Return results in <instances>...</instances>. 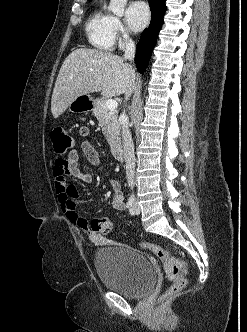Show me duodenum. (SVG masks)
Segmentation results:
<instances>
[{
  "label": "duodenum",
  "instance_id": "1",
  "mask_svg": "<svg viewBox=\"0 0 247 332\" xmlns=\"http://www.w3.org/2000/svg\"><path fill=\"white\" fill-rule=\"evenodd\" d=\"M113 155L116 159L118 160H123L124 158V151H123V148L122 146L120 145H116L114 148H113Z\"/></svg>",
  "mask_w": 247,
  "mask_h": 332
}]
</instances>
